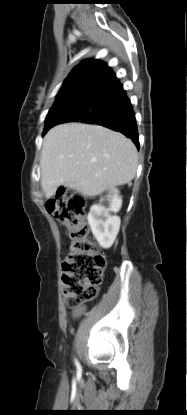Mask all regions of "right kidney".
I'll list each match as a JSON object with an SVG mask.
<instances>
[{
  "label": "right kidney",
  "mask_w": 187,
  "mask_h": 415,
  "mask_svg": "<svg viewBox=\"0 0 187 415\" xmlns=\"http://www.w3.org/2000/svg\"><path fill=\"white\" fill-rule=\"evenodd\" d=\"M111 194L107 196L109 205H93L88 214V223L92 233L99 245L105 249L110 248L120 229V217L113 215L117 213L122 205V198L118 190L112 188Z\"/></svg>",
  "instance_id": "ca27d5eb"
}]
</instances>
